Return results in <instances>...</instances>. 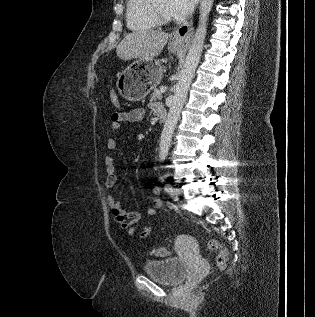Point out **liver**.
I'll list each match as a JSON object with an SVG mask.
<instances>
[{"mask_svg": "<svg viewBox=\"0 0 315 317\" xmlns=\"http://www.w3.org/2000/svg\"><path fill=\"white\" fill-rule=\"evenodd\" d=\"M169 37L168 33L154 30L132 32L119 43L116 54L125 61L134 58L151 61L162 52Z\"/></svg>", "mask_w": 315, "mask_h": 317, "instance_id": "6515ba94", "label": "liver"}]
</instances>
